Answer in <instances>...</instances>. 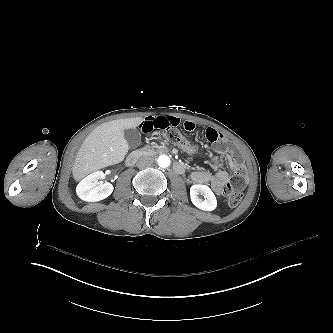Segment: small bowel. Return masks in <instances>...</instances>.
Listing matches in <instances>:
<instances>
[{"label": "small bowel", "mask_w": 333, "mask_h": 333, "mask_svg": "<svg viewBox=\"0 0 333 333\" xmlns=\"http://www.w3.org/2000/svg\"><path fill=\"white\" fill-rule=\"evenodd\" d=\"M180 124V119L176 117H149L146 118L142 123V129L145 132H149L154 128H166V127H175ZM183 126L186 130L192 131L195 129L196 125L192 120H185L183 122ZM206 139L208 142L215 144L211 145L212 153H219L222 157H224L232 171L237 177H242L246 180L245 168L242 163V154L241 153H233V143L232 142H224L225 136L223 133L219 131H215L212 128H208L205 131ZM211 165H219L220 157L219 156H211L210 157ZM190 179L196 183H208L211 185L214 193L220 197L223 194V190L226 187L229 181L228 173L224 170H218L215 173H211L209 171H195L190 174Z\"/></svg>", "instance_id": "1"}]
</instances>
